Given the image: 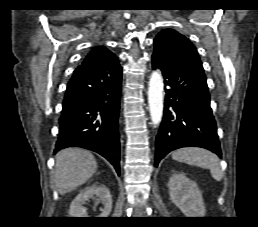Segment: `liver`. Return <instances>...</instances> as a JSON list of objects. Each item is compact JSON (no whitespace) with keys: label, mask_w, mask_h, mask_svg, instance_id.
<instances>
[{"label":"liver","mask_w":258,"mask_h":227,"mask_svg":"<svg viewBox=\"0 0 258 227\" xmlns=\"http://www.w3.org/2000/svg\"><path fill=\"white\" fill-rule=\"evenodd\" d=\"M97 170V162L91 152L79 148H67L55 157L54 182L60 194H66L84 184Z\"/></svg>","instance_id":"obj_1"}]
</instances>
